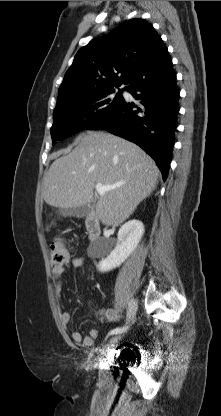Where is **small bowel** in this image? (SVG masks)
I'll list each match as a JSON object with an SVG mask.
<instances>
[{
    "instance_id": "small-bowel-1",
    "label": "small bowel",
    "mask_w": 221,
    "mask_h": 416,
    "mask_svg": "<svg viewBox=\"0 0 221 416\" xmlns=\"http://www.w3.org/2000/svg\"><path fill=\"white\" fill-rule=\"evenodd\" d=\"M71 265L75 268L82 267L84 264V258L82 256H73L71 258ZM66 273V267L64 265H53L52 275L55 282V292L60 300L62 291V278ZM97 315L104 322H118L121 319V313L115 308H103L95 311ZM61 321L64 324H68L71 320V315L67 311H62L60 314ZM99 337V330L92 328L88 335L83 336L79 331H73L71 338L75 343L81 344L85 348H91L94 346L95 340Z\"/></svg>"
}]
</instances>
